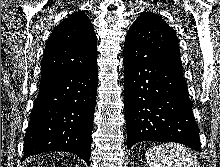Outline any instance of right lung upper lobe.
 Masks as SVG:
<instances>
[{
	"label": "right lung upper lobe",
	"instance_id": "cb5924a9",
	"mask_svg": "<svg viewBox=\"0 0 220 167\" xmlns=\"http://www.w3.org/2000/svg\"><path fill=\"white\" fill-rule=\"evenodd\" d=\"M97 64L93 25L83 11L62 21L50 35L41 63V82Z\"/></svg>",
	"mask_w": 220,
	"mask_h": 167
}]
</instances>
